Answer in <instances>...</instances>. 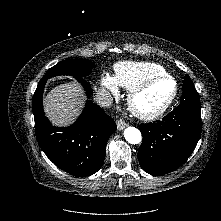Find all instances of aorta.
Wrapping results in <instances>:
<instances>
[{"label": "aorta", "mask_w": 221, "mask_h": 221, "mask_svg": "<svg viewBox=\"0 0 221 221\" xmlns=\"http://www.w3.org/2000/svg\"><path fill=\"white\" fill-rule=\"evenodd\" d=\"M124 137L130 144H138L142 140L141 132L135 127H127L124 130Z\"/></svg>", "instance_id": "aorta-1"}]
</instances>
